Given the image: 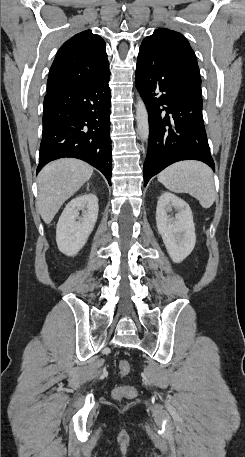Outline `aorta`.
I'll list each match as a JSON object with an SVG mask.
<instances>
[{
  "label": "aorta",
  "instance_id": "obj_1",
  "mask_svg": "<svg viewBox=\"0 0 245 457\" xmlns=\"http://www.w3.org/2000/svg\"><path fill=\"white\" fill-rule=\"evenodd\" d=\"M136 122L139 139L147 142L149 138V120L146 105L140 95L136 103Z\"/></svg>",
  "mask_w": 245,
  "mask_h": 457
}]
</instances>
